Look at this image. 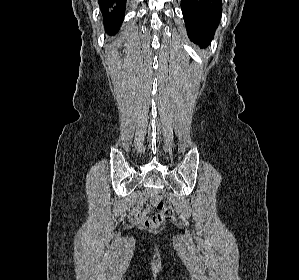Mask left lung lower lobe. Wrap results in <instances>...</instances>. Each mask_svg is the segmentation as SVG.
Wrapping results in <instances>:
<instances>
[{
	"label": "left lung lower lobe",
	"instance_id": "1",
	"mask_svg": "<svg viewBox=\"0 0 299 280\" xmlns=\"http://www.w3.org/2000/svg\"><path fill=\"white\" fill-rule=\"evenodd\" d=\"M181 9L188 37L192 42L207 47L222 14V0H181Z\"/></svg>",
	"mask_w": 299,
	"mask_h": 280
}]
</instances>
